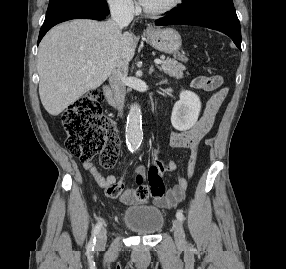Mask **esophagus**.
I'll list each match as a JSON object with an SVG mask.
<instances>
[{"instance_id":"1","label":"esophagus","mask_w":286,"mask_h":269,"mask_svg":"<svg viewBox=\"0 0 286 269\" xmlns=\"http://www.w3.org/2000/svg\"><path fill=\"white\" fill-rule=\"evenodd\" d=\"M151 29H152L151 26H148V27H147V31H150Z\"/></svg>"}]
</instances>
